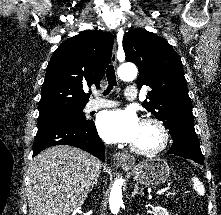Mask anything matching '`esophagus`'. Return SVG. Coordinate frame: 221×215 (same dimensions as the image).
I'll list each match as a JSON object with an SVG mask.
<instances>
[{
	"label": "esophagus",
	"mask_w": 221,
	"mask_h": 215,
	"mask_svg": "<svg viewBox=\"0 0 221 215\" xmlns=\"http://www.w3.org/2000/svg\"><path fill=\"white\" fill-rule=\"evenodd\" d=\"M111 62L114 66H117V50H116V44L113 46L112 50V56H111ZM116 162L118 165H120L122 168H130L134 165L135 159L132 155L127 154L125 152H119L116 154Z\"/></svg>",
	"instance_id": "obj_1"
}]
</instances>
